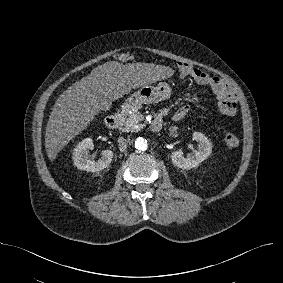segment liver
<instances>
[{"label": "liver", "instance_id": "obj_1", "mask_svg": "<svg viewBox=\"0 0 283 283\" xmlns=\"http://www.w3.org/2000/svg\"><path fill=\"white\" fill-rule=\"evenodd\" d=\"M173 70L153 63L122 64L109 61L68 87L55 102L45 132V149L50 161L84 131L101 110L132 89L166 79Z\"/></svg>", "mask_w": 283, "mask_h": 283}]
</instances>
